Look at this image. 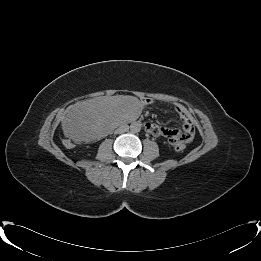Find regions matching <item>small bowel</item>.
I'll list each match as a JSON object with an SVG mask.
<instances>
[{"label":"small bowel","mask_w":261,"mask_h":261,"mask_svg":"<svg viewBox=\"0 0 261 261\" xmlns=\"http://www.w3.org/2000/svg\"><path fill=\"white\" fill-rule=\"evenodd\" d=\"M174 110L182 122V130L170 129L154 123H145L147 131L157 137L183 136L186 142L191 141L194 137L195 128L190 115L179 105H175Z\"/></svg>","instance_id":"obj_1"}]
</instances>
